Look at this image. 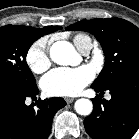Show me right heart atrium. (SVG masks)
Returning a JSON list of instances; mask_svg holds the SVG:
<instances>
[{
	"mask_svg": "<svg viewBox=\"0 0 139 139\" xmlns=\"http://www.w3.org/2000/svg\"><path fill=\"white\" fill-rule=\"evenodd\" d=\"M26 63L34 73H42L50 66L49 42L40 38L33 42L26 52Z\"/></svg>",
	"mask_w": 139,
	"mask_h": 139,
	"instance_id": "d8ad5b80",
	"label": "right heart atrium"
}]
</instances>
